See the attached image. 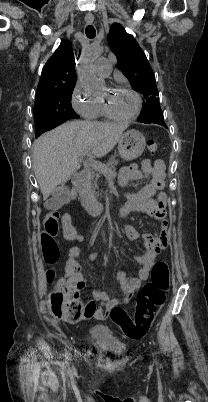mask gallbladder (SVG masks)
I'll list each match as a JSON object with an SVG mask.
<instances>
[{
  "label": "gallbladder",
  "mask_w": 208,
  "mask_h": 402,
  "mask_svg": "<svg viewBox=\"0 0 208 402\" xmlns=\"http://www.w3.org/2000/svg\"><path fill=\"white\" fill-rule=\"evenodd\" d=\"M64 192H65L64 186H59L57 187L56 190L52 191L51 196L52 198L57 199L59 198L60 195L64 194Z\"/></svg>",
  "instance_id": "1"
}]
</instances>
